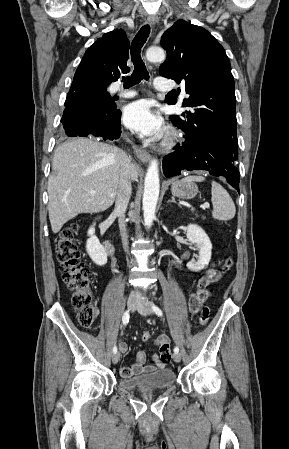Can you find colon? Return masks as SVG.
I'll return each instance as SVG.
<instances>
[{"instance_id":"obj_1","label":"colon","mask_w":289,"mask_h":449,"mask_svg":"<svg viewBox=\"0 0 289 449\" xmlns=\"http://www.w3.org/2000/svg\"><path fill=\"white\" fill-rule=\"evenodd\" d=\"M78 228L79 225L73 223L61 231L56 245V253L63 267L64 282L72 294V303L77 311L79 323L85 328H91L95 322L97 310L92 302L89 271L79 257L76 240ZM232 266L233 259L226 258L222 265V272L227 273ZM209 315V307H203L199 316L201 326L207 325ZM149 339V332H144L142 340L148 341Z\"/></svg>"}]
</instances>
